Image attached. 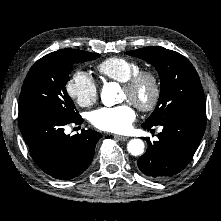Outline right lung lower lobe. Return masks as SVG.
Segmentation results:
<instances>
[{"label": "right lung lower lobe", "instance_id": "98d812e1", "mask_svg": "<svg viewBox=\"0 0 221 221\" xmlns=\"http://www.w3.org/2000/svg\"><path fill=\"white\" fill-rule=\"evenodd\" d=\"M19 127L32 158L40 169L57 179H72L82 174L92 161L95 145L102 135L82 130L73 136L64 133L70 120L51 111L29 108L19 111Z\"/></svg>", "mask_w": 221, "mask_h": 221}]
</instances>
